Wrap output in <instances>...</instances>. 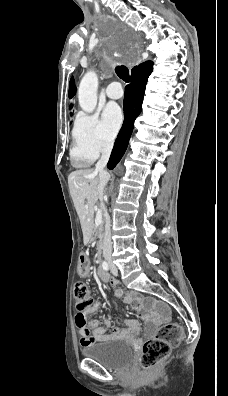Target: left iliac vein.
Listing matches in <instances>:
<instances>
[{
  "instance_id": "obj_1",
  "label": "left iliac vein",
  "mask_w": 228,
  "mask_h": 396,
  "mask_svg": "<svg viewBox=\"0 0 228 396\" xmlns=\"http://www.w3.org/2000/svg\"><path fill=\"white\" fill-rule=\"evenodd\" d=\"M109 266H110V270H111L112 274L114 276H117L118 270H117L116 266L112 262H109Z\"/></svg>"
}]
</instances>
